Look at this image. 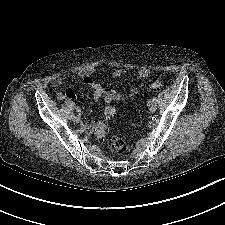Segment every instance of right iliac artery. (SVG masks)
Instances as JSON below:
<instances>
[{"label": "right iliac artery", "mask_w": 225, "mask_h": 225, "mask_svg": "<svg viewBox=\"0 0 225 225\" xmlns=\"http://www.w3.org/2000/svg\"><path fill=\"white\" fill-rule=\"evenodd\" d=\"M74 117H75V114H72V115H71V118H74Z\"/></svg>", "instance_id": "1"}]
</instances>
